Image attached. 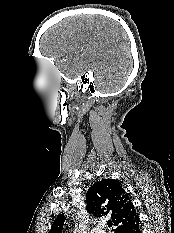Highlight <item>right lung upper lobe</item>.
Returning a JSON list of instances; mask_svg holds the SVG:
<instances>
[{
  "instance_id": "1",
  "label": "right lung upper lobe",
  "mask_w": 174,
  "mask_h": 233,
  "mask_svg": "<svg viewBox=\"0 0 174 233\" xmlns=\"http://www.w3.org/2000/svg\"><path fill=\"white\" fill-rule=\"evenodd\" d=\"M86 209L94 217L108 216L116 233H126L140 224L134 205L119 181L104 179L90 187L86 194ZM66 217L59 214L49 233H62Z\"/></svg>"
}]
</instances>
